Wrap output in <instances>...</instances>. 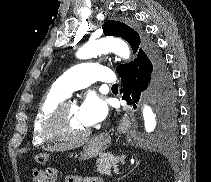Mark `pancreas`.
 I'll list each match as a JSON object with an SVG mask.
<instances>
[{
  "label": "pancreas",
  "mask_w": 211,
  "mask_h": 182,
  "mask_svg": "<svg viewBox=\"0 0 211 182\" xmlns=\"http://www.w3.org/2000/svg\"><path fill=\"white\" fill-rule=\"evenodd\" d=\"M124 156L121 158L112 155L111 153L102 155L97 160V172L103 175H111L112 167L119 162V160H123Z\"/></svg>",
  "instance_id": "pancreas-1"
}]
</instances>
